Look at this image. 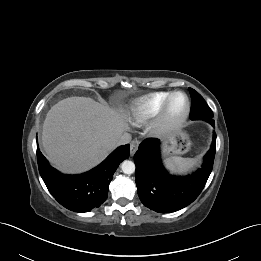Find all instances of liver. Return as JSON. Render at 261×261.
<instances>
[{
	"label": "liver",
	"instance_id": "6515ba94",
	"mask_svg": "<svg viewBox=\"0 0 261 261\" xmlns=\"http://www.w3.org/2000/svg\"><path fill=\"white\" fill-rule=\"evenodd\" d=\"M123 110L87 97H69L48 111L42 145L48 160L65 173H81L102 162L127 129Z\"/></svg>",
	"mask_w": 261,
	"mask_h": 261
}]
</instances>
